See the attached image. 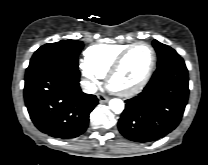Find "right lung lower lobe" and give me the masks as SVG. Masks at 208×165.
<instances>
[{
  "instance_id": "obj_1",
  "label": "right lung lower lobe",
  "mask_w": 208,
  "mask_h": 165,
  "mask_svg": "<svg viewBox=\"0 0 208 165\" xmlns=\"http://www.w3.org/2000/svg\"><path fill=\"white\" fill-rule=\"evenodd\" d=\"M80 71L65 59H49L28 67L24 100L34 125L56 138H75L85 132L95 95L79 86Z\"/></svg>"
}]
</instances>
